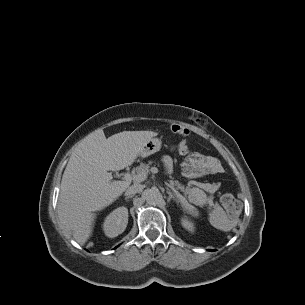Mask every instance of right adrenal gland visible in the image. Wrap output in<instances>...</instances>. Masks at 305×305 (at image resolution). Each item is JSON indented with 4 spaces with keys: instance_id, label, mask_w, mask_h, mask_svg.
Returning <instances> with one entry per match:
<instances>
[{
    "instance_id": "obj_1",
    "label": "right adrenal gland",
    "mask_w": 305,
    "mask_h": 305,
    "mask_svg": "<svg viewBox=\"0 0 305 305\" xmlns=\"http://www.w3.org/2000/svg\"><path fill=\"white\" fill-rule=\"evenodd\" d=\"M133 197V195H131V196H126L125 197V200H127V199H129V198H132Z\"/></svg>"
}]
</instances>
